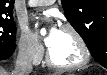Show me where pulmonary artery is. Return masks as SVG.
Listing matches in <instances>:
<instances>
[{
    "label": "pulmonary artery",
    "mask_w": 107,
    "mask_h": 75,
    "mask_svg": "<svg viewBox=\"0 0 107 75\" xmlns=\"http://www.w3.org/2000/svg\"><path fill=\"white\" fill-rule=\"evenodd\" d=\"M54 2H55V0H30V1H28V5L31 7L47 6Z\"/></svg>",
    "instance_id": "obj_1"
}]
</instances>
